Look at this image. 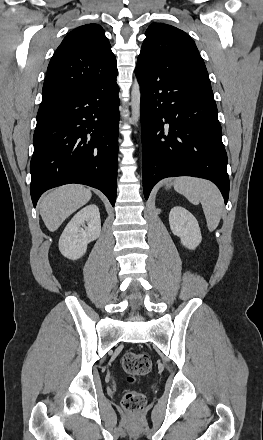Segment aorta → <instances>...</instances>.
<instances>
[{
	"mask_svg": "<svg viewBox=\"0 0 263 440\" xmlns=\"http://www.w3.org/2000/svg\"><path fill=\"white\" fill-rule=\"evenodd\" d=\"M140 99H141L140 85L137 81H135L131 90L132 121L135 124H137L140 117Z\"/></svg>",
	"mask_w": 263,
	"mask_h": 440,
	"instance_id": "obj_1",
	"label": "aorta"
}]
</instances>
